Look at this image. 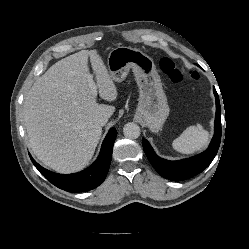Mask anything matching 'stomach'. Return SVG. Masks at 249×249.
Wrapping results in <instances>:
<instances>
[{"mask_svg":"<svg viewBox=\"0 0 249 249\" xmlns=\"http://www.w3.org/2000/svg\"><path fill=\"white\" fill-rule=\"evenodd\" d=\"M107 65L115 82L123 81L132 69L139 87L136 115L152 132L160 131L169 115V106L152 58L138 49L119 46L109 53Z\"/></svg>","mask_w":249,"mask_h":249,"instance_id":"1","label":"stomach"}]
</instances>
